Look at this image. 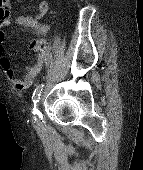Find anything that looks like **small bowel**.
Returning <instances> with one entry per match:
<instances>
[{
  "instance_id": "small-bowel-1",
  "label": "small bowel",
  "mask_w": 143,
  "mask_h": 170,
  "mask_svg": "<svg viewBox=\"0 0 143 170\" xmlns=\"http://www.w3.org/2000/svg\"><path fill=\"white\" fill-rule=\"evenodd\" d=\"M48 8V3L46 1H41L37 5V11L34 15H8L6 18L0 20V65L7 77L12 80L14 87L18 90L26 89L33 83L44 65L45 55L39 56L33 65L28 66L25 75L21 79L16 78V73L9 59L6 57L3 48L6 38L5 28L17 25L37 34H46L49 30V25L41 24L38 20L47 13Z\"/></svg>"
}]
</instances>
